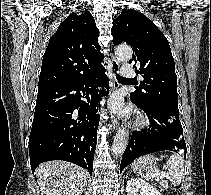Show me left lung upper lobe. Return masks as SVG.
I'll list each match as a JSON object with an SVG mask.
<instances>
[{
    "mask_svg": "<svg viewBox=\"0 0 211 195\" xmlns=\"http://www.w3.org/2000/svg\"><path fill=\"white\" fill-rule=\"evenodd\" d=\"M113 43H128L134 54L132 63L144 80L130 94L137 104L156 106L179 115L177 76L168 40L143 13L123 11L113 20Z\"/></svg>",
    "mask_w": 211,
    "mask_h": 195,
    "instance_id": "1",
    "label": "left lung upper lobe"
}]
</instances>
